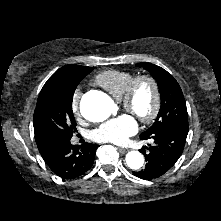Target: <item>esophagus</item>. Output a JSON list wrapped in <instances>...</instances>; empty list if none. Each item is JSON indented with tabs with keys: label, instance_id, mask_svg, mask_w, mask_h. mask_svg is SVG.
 <instances>
[{
	"label": "esophagus",
	"instance_id": "1",
	"mask_svg": "<svg viewBox=\"0 0 221 221\" xmlns=\"http://www.w3.org/2000/svg\"><path fill=\"white\" fill-rule=\"evenodd\" d=\"M121 152H126L127 151V149H125V148H118Z\"/></svg>",
	"mask_w": 221,
	"mask_h": 221
}]
</instances>
